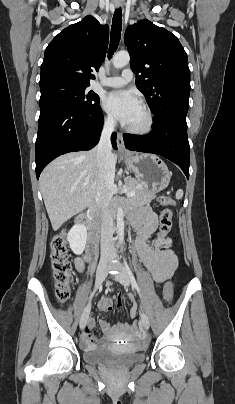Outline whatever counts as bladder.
<instances>
[{
	"label": "bladder",
	"instance_id": "bladder-1",
	"mask_svg": "<svg viewBox=\"0 0 235 404\" xmlns=\"http://www.w3.org/2000/svg\"><path fill=\"white\" fill-rule=\"evenodd\" d=\"M84 359L87 363L96 366L129 368L141 363L143 355L137 350L120 352L116 347L104 346L86 351Z\"/></svg>",
	"mask_w": 235,
	"mask_h": 404
}]
</instances>
